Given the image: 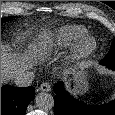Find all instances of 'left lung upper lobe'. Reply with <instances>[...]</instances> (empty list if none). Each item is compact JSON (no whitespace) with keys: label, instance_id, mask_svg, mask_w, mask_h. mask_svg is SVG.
I'll list each match as a JSON object with an SVG mask.
<instances>
[{"label":"left lung upper lobe","instance_id":"1","mask_svg":"<svg viewBox=\"0 0 115 115\" xmlns=\"http://www.w3.org/2000/svg\"><path fill=\"white\" fill-rule=\"evenodd\" d=\"M101 64H111L115 63V38L113 40L111 49L106 57L100 62Z\"/></svg>","mask_w":115,"mask_h":115}]
</instances>
